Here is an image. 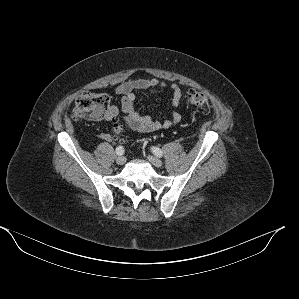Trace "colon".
I'll return each mask as SVG.
<instances>
[{
    "mask_svg": "<svg viewBox=\"0 0 299 299\" xmlns=\"http://www.w3.org/2000/svg\"><path fill=\"white\" fill-rule=\"evenodd\" d=\"M187 101L198 108L202 113L211 112V104L206 94L203 92L190 90L186 95ZM109 96L85 92L77 96L73 106V118L75 120L96 121L102 119L109 108ZM119 131V127H116Z\"/></svg>",
    "mask_w": 299,
    "mask_h": 299,
    "instance_id": "colon-1",
    "label": "colon"
}]
</instances>
